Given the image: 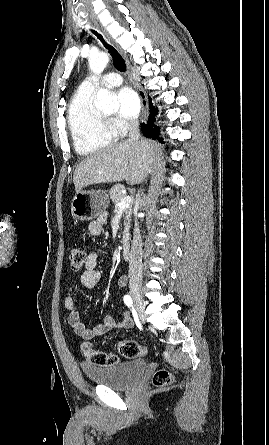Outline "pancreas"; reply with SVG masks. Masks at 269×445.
Listing matches in <instances>:
<instances>
[{"label":"pancreas","instance_id":"pancreas-1","mask_svg":"<svg viewBox=\"0 0 269 445\" xmlns=\"http://www.w3.org/2000/svg\"><path fill=\"white\" fill-rule=\"evenodd\" d=\"M123 190H124V186L117 184V185H114L109 191L110 198L116 207H118V204L120 203V201L125 197ZM131 214H132V205H130L125 210L123 242H127L129 240V228H130Z\"/></svg>","mask_w":269,"mask_h":445}]
</instances>
